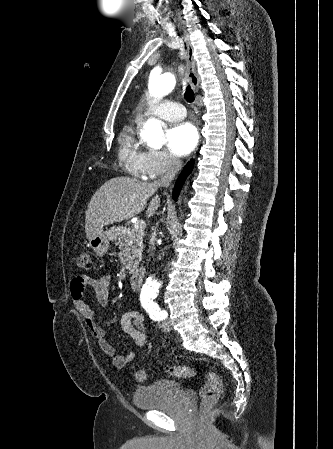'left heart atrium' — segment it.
I'll return each mask as SVG.
<instances>
[{
  "mask_svg": "<svg viewBox=\"0 0 333 449\" xmlns=\"http://www.w3.org/2000/svg\"><path fill=\"white\" fill-rule=\"evenodd\" d=\"M167 143L170 151L179 157L187 156L197 145L198 132L189 122H181L167 132Z\"/></svg>",
  "mask_w": 333,
  "mask_h": 449,
  "instance_id": "obj_1",
  "label": "left heart atrium"
}]
</instances>
